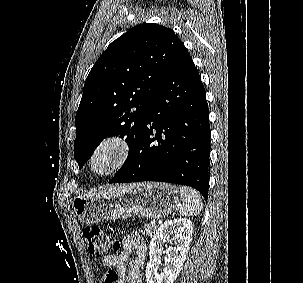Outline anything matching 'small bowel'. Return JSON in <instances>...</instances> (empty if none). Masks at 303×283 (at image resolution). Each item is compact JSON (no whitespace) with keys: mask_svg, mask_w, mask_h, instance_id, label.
<instances>
[{"mask_svg":"<svg viewBox=\"0 0 303 283\" xmlns=\"http://www.w3.org/2000/svg\"><path fill=\"white\" fill-rule=\"evenodd\" d=\"M135 258L129 261L132 255ZM147 246L138 232H131L122 240V250L116 255H107L102 263L111 268L102 283H143L140 269L146 259Z\"/></svg>","mask_w":303,"mask_h":283,"instance_id":"small-bowel-1","label":"small bowel"}]
</instances>
